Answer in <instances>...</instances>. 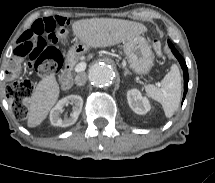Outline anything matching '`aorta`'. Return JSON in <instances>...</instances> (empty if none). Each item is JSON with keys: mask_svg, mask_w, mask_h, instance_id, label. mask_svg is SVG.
Segmentation results:
<instances>
[{"mask_svg": "<svg viewBox=\"0 0 215 183\" xmlns=\"http://www.w3.org/2000/svg\"><path fill=\"white\" fill-rule=\"evenodd\" d=\"M88 76L94 86L103 88L112 83L115 71L109 63L100 61L90 67Z\"/></svg>", "mask_w": 215, "mask_h": 183, "instance_id": "762f6f07", "label": "aorta"}]
</instances>
